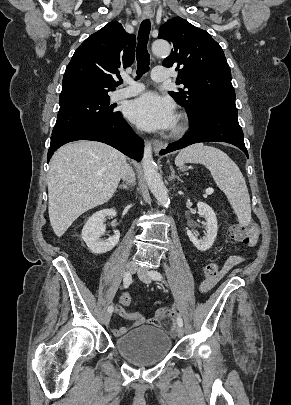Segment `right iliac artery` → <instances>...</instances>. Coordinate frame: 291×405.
<instances>
[{
    "instance_id": "82829eb1",
    "label": "right iliac artery",
    "mask_w": 291,
    "mask_h": 405,
    "mask_svg": "<svg viewBox=\"0 0 291 405\" xmlns=\"http://www.w3.org/2000/svg\"><path fill=\"white\" fill-rule=\"evenodd\" d=\"M131 282H132V277H131V274L129 273V272H126L125 274H124V278H123V285H124V288H128L129 287V285L131 284ZM113 306L111 305V306H109L108 307V312H113Z\"/></svg>"
}]
</instances>
